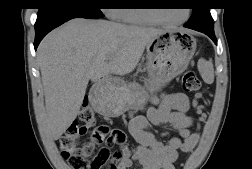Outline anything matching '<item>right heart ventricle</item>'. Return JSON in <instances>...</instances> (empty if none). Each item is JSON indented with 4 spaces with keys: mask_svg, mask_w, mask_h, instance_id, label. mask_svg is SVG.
I'll return each instance as SVG.
<instances>
[{
    "mask_svg": "<svg viewBox=\"0 0 252 169\" xmlns=\"http://www.w3.org/2000/svg\"><path fill=\"white\" fill-rule=\"evenodd\" d=\"M119 20L126 24L145 25L150 24L138 9L122 8L119 10Z\"/></svg>",
    "mask_w": 252,
    "mask_h": 169,
    "instance_id": "obj_1",
    "label": "right heart ventricle"
}]
</instances>
